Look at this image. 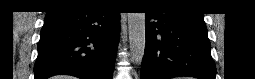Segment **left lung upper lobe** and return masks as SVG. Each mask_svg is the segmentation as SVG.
Here are the masks:
<instances>
[{
    "label": "left lung upper lobe",
    "instance_id": "5c2ea615",
    "mask_svg": "<svg viewBox=\"0 0 255 79\" xmlns=\"http://www.w3.org/2000/svg\"><path fill=\"white\" fill-rule=\"evenodd\" d=\"M164 4H168V5H175L176 3H178L177 1L175 0H163V1H160Z\"/></svg>",
    "mask_w": 255,
    "mask_h": 79
}]
</instances>
